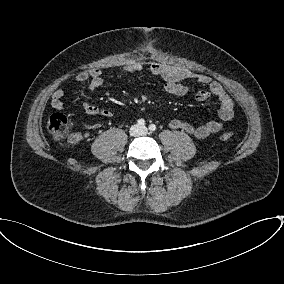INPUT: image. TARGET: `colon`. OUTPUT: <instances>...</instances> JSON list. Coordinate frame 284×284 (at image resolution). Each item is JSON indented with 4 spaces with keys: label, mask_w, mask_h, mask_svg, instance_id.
Here are the masks:
<instances>
[{
    "label": "colon",
    "mask_w": 284,
    "mask_h": 284,
    "mask_svg": "<svg viewBox=\"0 0 284 284\" xmlns=\"http://www.w3.org/2000/svg\"><path fill=\"white\" fill-rule=\"evenodd\" d=\"M72 123L62 113H54L48 121V131L55 140H63L68 143H78L81 140V135L77 132H72ZM232 132H224L220 138L223 141L231 139Z\"/></svg>",
    "instance_id": "obj_1"
}]
</instances>
